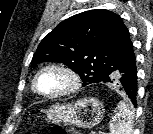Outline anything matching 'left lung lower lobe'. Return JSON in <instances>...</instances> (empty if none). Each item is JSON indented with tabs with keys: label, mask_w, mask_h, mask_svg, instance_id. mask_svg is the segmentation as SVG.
<instances>
[{
	"label": "left lung lower lobe",
	"mask_w": 153,
	"mask_h": 134,
	"mask_svg": "<svg viewBox=\"0 0 153 134\" xmlns=\"http://www.w3.org/2000/svg\"><path fill=\"white\" fill-rule=\"evenodd\" d=\"M103 83H115L116 87L122 91L136 107L137 95V68L135 55L125 61L118 69L110 76L102 80Z\"/></svg>",
	"instance_id": "1"
}]
</instances>
